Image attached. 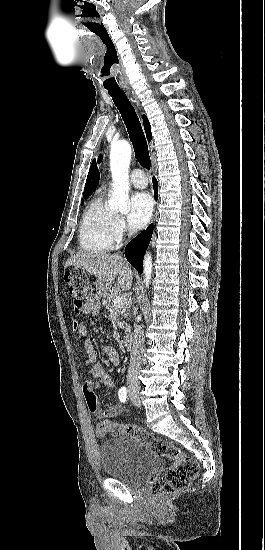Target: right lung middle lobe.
<instances>
[{"label":"right lung middle lobe","instance_id":"dd1d6c3e","mask_svg":"<svg viewBox=\"0 0 265 550\" xmlns=\"http://www.w3.org/2000/svg\"><path fill=\"white\" fill-rule=\"evenodd\" d=\"M84 203V200H82L81 205Z\"/></svg>","mask_w":265,"mask_h":550}]
</instances>
